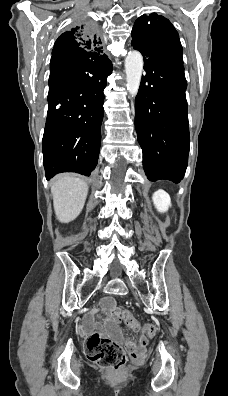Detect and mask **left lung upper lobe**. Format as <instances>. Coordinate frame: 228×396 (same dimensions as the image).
<instances>
[{
    "label": "left lung upper lobe",
    "instance_id": "obj_1",
    "mask_svg": "<svg viewBox=\"0 0 228 396\" xmlns=\"http://www.w3.org/2000/svg\"><path fill=\"white\" fill-rule=\"evenodd\" d=\"M131 34L135 43L153 45L182 59L179 35L170 21L163 16L156 13L140 16L135 21Z\"/></svg>",
    "mask_w": 228,
    "mask_h": 396
}]
</instances>
